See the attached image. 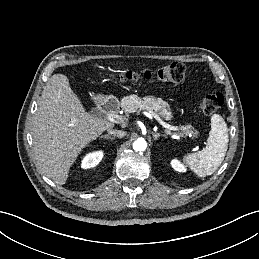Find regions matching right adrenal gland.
<instances>
[{
  "label": "right adrenal gland",
  "instance_id": "1",
  "mask_svg": "<svg viewBox=\"0 0 259 259\" xmlns=\"http://www.w3.org/2000/svg\"><path fill=\"white\" fill-rule=\"evenodd\" d=\"M101 138H103V139H110V140L114 139V137H111L110 135H102Z\"/></svg>",
  "mask_w": 259,
  "mask_h": 259
}]
</instances>
